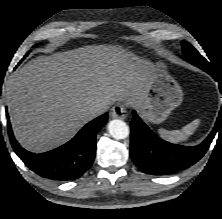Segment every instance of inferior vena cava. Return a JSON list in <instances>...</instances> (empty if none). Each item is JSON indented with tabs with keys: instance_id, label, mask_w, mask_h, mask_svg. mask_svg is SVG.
Returning <instances> with one entry per match:
<instances>
[{
	"instance_id": "1",
	"label": "inferior vena cava",
	"mask_w": 222,
	"mask_h": 219,
	"mask_svg": "<svg viewBox=\"0 0 222 219\" xmlns=\"http://www.w3.org/2000/svg\"><path fill=\"white\" fill-rule=\"evenodd\" d=\"M109 109V106L106 105H96L94 106L90 112L94 117H97L103 113H105Z\"/></svg>"
}]
</instances>
